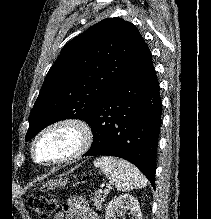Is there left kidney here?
<instances>
[{
	"label": "left kidney",
	"mask_w": 211,
	"mask_h": 219,
	"mask_svg": "<svg viewBox=\"0 0 211 219\" xmlns=\"http://www.w3.org/2000/svg\"><path fill=\"white\" fill-rule=\"evenodd\" d=\"M129 211L131 219H142L141 209L138 200L128 194L114 198L106 208L105 219H116L122 216L125 211Z\"/></svg>",
	"instance_id": "left-kidney-1"
}]
</instances>
